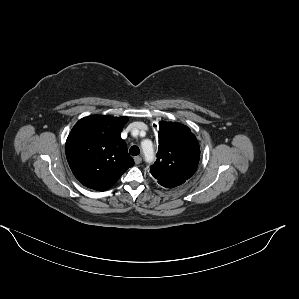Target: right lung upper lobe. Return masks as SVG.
<instances>
[{"label":"right lung upper lobe","mask_w":299,"mask_h":299,"mask_svg":"<svg viewBox=\"0 0 299 299\" xmlns=\"http://www.w3.org/2000/svg\"><path fill=\"white\" fill-rule=\"evenodd\" d=\"M127 117L89 116L72 128L65 145L75 177L86 187L105 191L113 186L134 160L120 133Z\"/></svg>","instance_id":"cb5924a9"}]
</instances>
